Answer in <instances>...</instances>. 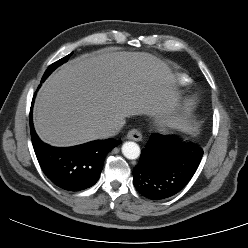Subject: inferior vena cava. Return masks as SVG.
I'll return each mask as SVG.
<instances>
[{
  "mask_svg": "<svg viewBox=\"0 0 248 248\" xmlns=\"http://www.w3.org/2000/svg\"><path fill=\"white\" fill-rule=\"evenodd\" d=\"M121 128H122V125H120V124L110 125L106 130V136L110 137V136H114V135L118 134L120 132Z\"/></svg>",
  "mask_w": 248,
  "mask_h": 248,
  "instance_id": "1",
  "label": "inferior vena cava"
}]
</instances>
